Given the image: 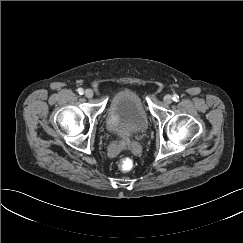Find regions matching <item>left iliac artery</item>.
I'll return each mask as SVG.
<instances>
[{"mask_svg":"<svg viewBox=\"0 0 243 243\" xmlns=\"http://www.w3.org/2000/svg\"><path fill=\"white\" fill-rule=\"evenodd\" d=\"M178 99H179V96H178L177 94H174V95H173V100H174V101H178Z\"/></svg>","mask_w":243,"mask_h":243,"instance_id":"44dca946","label":"left iliac artery"}]
</instances>
